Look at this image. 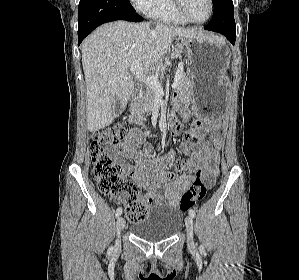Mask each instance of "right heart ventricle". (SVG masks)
<instances>
[{
  "label": "right heart ventricle",
  "instance_id": "1",
  "mask_svg": "<svg viewBox=\"0 0 299 280\" xmlns=\"http://www.w3.org/2000/svg\"><path fill=\"white\" fill-rule=\"evenodd\" d=\"M147 14L155 20L168 24L188 23L176 12L172 0H154Z\"/></svg>",
  "mask_w": 299,
  "mask_h": 280
}]
</instances>
